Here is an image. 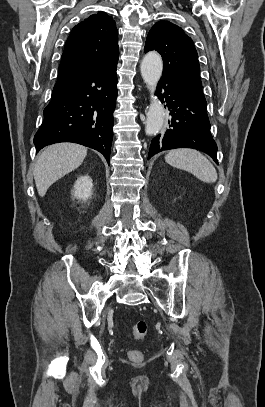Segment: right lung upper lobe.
Masks as SVG:
<instances>
[{
    "label": "right lung upper lobe",
    "mask_w": 265,
    "mask_h": 407,
    "mask_svg": "<svg viewBox=\"0 0 265 407\" xmlns=\"http://www.w3.org/2000/svg\"><path fill=\"white\" fill-rule=\"evenodd\" d=\"M118 31L115 21L99 12L72 29L59 65L55 87L73 82L118 60Z\"/></svg>",
    "instance_id": "cb5924a9"
}]
</instances>
